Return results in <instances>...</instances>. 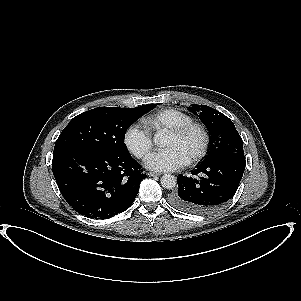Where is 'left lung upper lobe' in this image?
Instances as JSON below:
<instances>
[{"instance_id":"1","label":"left lung upper lobe","mask_w":301,"mask_h":301,"mask_svg":"<svg viewBox=\"0 0 301 301\" xmlns=\"http://www.w3.org/2000/svg\"><path fill=\"white\" fill-rule=\"evenodd\" d=\"M189 110L194 114H197V111L201 112L200 119L211 135L209 153L202 163H208L229 152L244 153L243 141L227 116L206 105H193Z\"/></svg>"}]
</instances>
